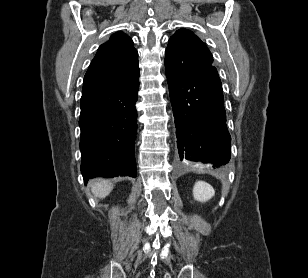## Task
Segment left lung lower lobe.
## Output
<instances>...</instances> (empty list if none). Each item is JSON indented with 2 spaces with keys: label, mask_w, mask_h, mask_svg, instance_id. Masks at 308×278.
Here are the masks:
<instances>
[{
  "label": "left lung lower lobe",
  "mask_w": 308,
  "mask_h": 278,
  "mask_svg": "<svg viewBox=\"0 0 308 278\" xmlns=\"http://www.w3.org/2000/svg\"><path fill=\"white\" fill-rule=\"evenodd\" d=\"M180 159L225 165L231 137L223 90L214 66L179 73L166 68Z\"/></svg>",
  "instance_id": "obj_1"
}]
</instances>
